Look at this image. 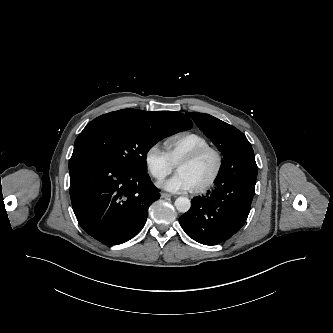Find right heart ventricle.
<instances>
[{"instance_id": "1", "label": "right heart ventricle", "mask_w": 333, "mask_h": 333, "mask_svg": "<svg viewBox=\"0 0 333 333\" xmlns=\"http://www.w3.org/2000/svg\"><path fill=\"white\" fill-rule=\"evenodd\" d=\"M204 146H209L208 140L194 132H180L164 140L165 153L174 165L189 153Z\"/></svg>"}]
</instances>
